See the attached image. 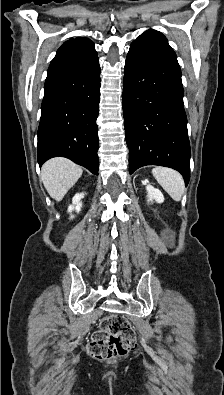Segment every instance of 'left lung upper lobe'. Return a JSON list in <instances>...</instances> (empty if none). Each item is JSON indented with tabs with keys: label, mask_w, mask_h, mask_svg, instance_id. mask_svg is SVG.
Masks as SVG:
<instances>
[{
	"label": "left lung upper lobe",
	"mask_w": 224,
	"mask_h": 395,
	"mask_svg": "<svg viewBox=\"0 0 224 395\" xmlns=\"http://www.w3.org/2000/svg\"><path fill=\"white\" fill-rule=\"evenodd\" d=\"M134 42L144 43L147 45L158 47L176 55L173 49L169 46L166 37L162 33L156 30H148L144 32Z\"/></svg>",
	"instance_id": "obj_1"
}]
</instances>
